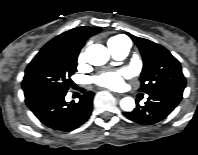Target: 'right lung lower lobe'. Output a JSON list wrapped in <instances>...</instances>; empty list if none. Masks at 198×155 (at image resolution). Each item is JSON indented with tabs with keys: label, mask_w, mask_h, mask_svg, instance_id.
Masks as SVG:
<instances>
[{
	"label": "right lung lower lobe",
	"mask_w": 198,
	"mask_h": 155,
	"mask_svg": "<svg viewBox=\"0 0 198 155\" xmlns=\"http://www.w3.org/2000/svg\"><path fill=\"white\" fill-rule=\"evenodd\" d=\"M67 90L39 88L24 91L25 102L46 126L58 131H71L87 121L92 112L94 93L87 92L78 103L65 102Z\"/></svg>",
	"instance_id": "98d812e1"
}]
</instances>
